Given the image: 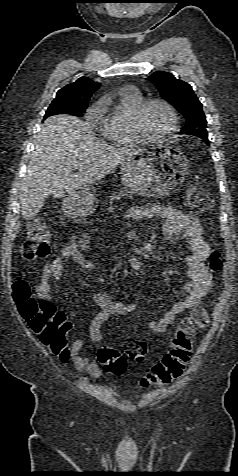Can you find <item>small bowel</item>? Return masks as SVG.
<instances>
[{
    "label": "small bowel",
    "instance_id": "obj_1",
    "mask_svg": "<svg viewBox=\"0 0 238 476\" xmlns=\"http://www.w3.org/2000/svg\"><path fill=\"white\" fill-rule=\"evenodd\" d=\"M157 217L163 220L162 233L167 239H177L183 235L189 253L186 257V267L189 281L184 284L186 297L174 304L160 318L148 322V327L155 333H163L173 323L175 317L185 310L195 308L201 304L203 297L212 286V274L206 266V260L210 255V247L205 241L202 227L197 217L183 213L172 207L161 204L135 206L126 214V218L131 221ZM90 246V236L88 233L81 237H74L71 242L62 249L61 255L47 263L40 276V281L36 286V294L40 300L52 303L51 283H59L62 278L63 264L65 259L73 260L84 270H93L95 264L88 259L84 252ZM136 297H139L137 294ZM94 303L98 306L99 312L89 324V335L86 339H78L68 348L66 354L59 355L61 361L71 360L75 368L80 372H87L94 377L102 373L100 364L82 354L84 347L93 343L100 346L102 343V325L109 320L112 315L129 316L136 310L135 304H125L116 301L106 291L93 296Z\"/></svg>",
    "mask_w": 238,
    "mask_h": 476
}]
</instances>
